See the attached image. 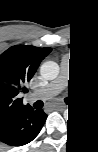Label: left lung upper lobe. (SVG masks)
<instances>
[{
  "label": "left lung upper lobe",
  "mask_w": 98,
  "mask_h": 152,
  "mask_svg": "<svg viewBox=\"0 0 98 152\" xmlns=\"http://www.w3.org/2000/svg\"><path fill=\"white\" fill-rule=\"evenodd\" d=\"M70 54L76 58L78 66L83 73V88L91 85L96 96H88V101L98 109V46L93 43L84 42L68 45Z\"/></svg>",
  "instance_id": "5c2ea615"
}]
</instances>
